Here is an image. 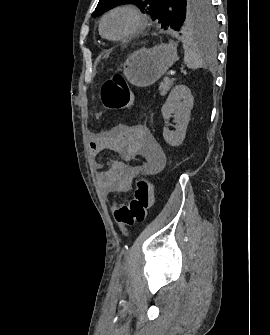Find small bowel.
<instances>
[{"label":"small bowel","mask_w":270,"mask_h":335,"mask_svg":"<svg viewBox=\"0 0 270 335\" xmlns=\"http://www.w3.org/2000/svg\"><path fill=\"white\" fill-rule=\"evenodd\" d=\"M94 156L104 151H114L123 156V161H109V168L97 174L101 187L110 193H126L132 189L133 180L139 172L153 174L166 164V155L161 145L155 140L149 128L144 124H120L113 130L94 134L90 141ZM136 156H142L145 163L141 166L131 165ZM97 168L102 163L95 161Z\"/></svg>","instance_id":"c3829d8e"}]
</instances>
